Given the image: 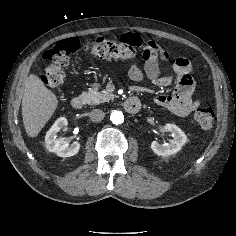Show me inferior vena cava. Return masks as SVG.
Listing matches in <instances>:
<instances>
[{
  "mask_svg": "<svg viewBox=\"0 0 236 236\" xmlns=\"http://www.w3.org/2000/svg\"><path fill=\"white\" fill-rule=\"evenodd\" d=\"M92 122H100L104 119L105 113L100 109H94L89 114Z\"/></svg>",
  "mask_w": 236,
  "mask_h": 236,
  "instance_id": "602c4592",
  "label": "inferior vena cava"
}]
</instances>
